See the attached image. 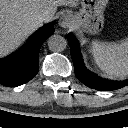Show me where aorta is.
Segmentation results:
<instances>
[{"label": "aorta", "instance_id": "aorta-1", "mask_svg": "<svg viewBox=\"0 0 128 128\" xmlns=\"http://www.w3.org/2000/svg\"><path fill=\"white\" fill-rule=\"evenodd\" d=\"M48 47L53 52H61L67 46V40L60 35H52L48 38Z\"/></svg>", "mask_w": 128, "mask_h": 128}]
</instances>
